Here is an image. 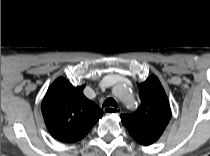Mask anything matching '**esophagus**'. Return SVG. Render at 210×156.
I'll return each instance as SVG.
<instances>
[{"mask_svg":"<svg viewBox=\"0 0 210 156\" xmlns=\"http://www.w3.org/2000/svg\"><path fill=\"white\" fill-rule=\"evenodd\" d=\"M119 110H121V109H119ZM111 111H112V107H110V106H107V107L104 108V112H106V114H110Z\"/></svg>","mask_w":210,"mask_h":156,"instance_id":"obj_1","label":"esophagus"}]
</instances>
